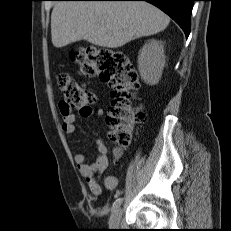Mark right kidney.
I'll return each instance as SVG.
<instances>
[{
    "label": "right kidney",
    "mask_w": 231,
    "mask_h": 231,
    "mask_svg": "<svg viewBox=\"0 0 231 231\" xmlns=\"http://www.w3.org/2000/svg\"><path fill=\"white\" fill-rule=\"evenodd\" d=\"M165 58L161 41L151 40L143 46L138 56V69L145 83H158L165 66Z\"/></svg>",
    "instance_id": "ca27d5eb"
}]
</instances>
